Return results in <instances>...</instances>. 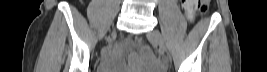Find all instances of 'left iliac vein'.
<instances>
[{"label":"left iliac vein","instance_id":"obj_1","mask_svg":"<svg viewBox=\"0 0 267 72\" xmlns=\"http://www.w3.org/2000/svg\"><path fill=\"white\" fill-rule=\"evenodd\" d=\"M147 37L158 44L161 52L164 53V59L165 61H169V56L167 54V49H166V44H165V41H164V38L162 36V34L158 31V30H153L151 32H149L147 34Z\"/></svg>","mask_w":267,"mask_h":72}]
</instances>
